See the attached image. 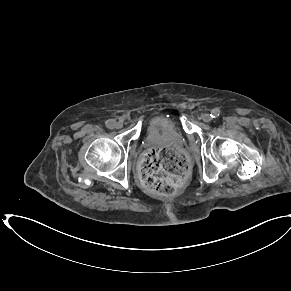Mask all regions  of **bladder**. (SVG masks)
I'll return each mask as SVG.
<instances>
[{"instance_id": "31cf9c89", "label": "bladder", "mask_w": 291, "mask_h": 291, "mask_svg": "<svg viewBox=\"0 0 291 291\" xmlns=\"http://www.w3.org/2000/svg\"><path fill=\"white\" fill-rule=\"evenodd\" d=\"M167 128H172L180 137L181 135V128L176 121L172 119L156 116L150 119L146 126V135H159L160 133L164 132Z\"/></svg>"}]
</instances>
